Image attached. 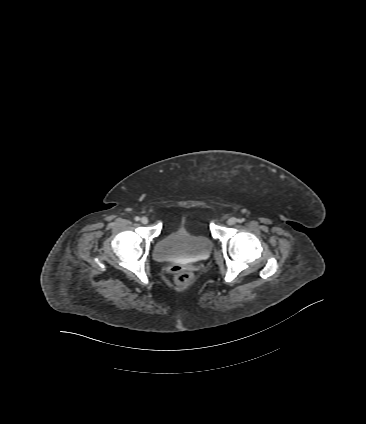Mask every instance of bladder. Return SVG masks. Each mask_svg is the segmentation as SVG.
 Listing matches in <instances>:
<instances>
[{
	"instance_id": "bladder-1",
	"label": "bladder",
	"mask_w": 366,
	"mask_h": 424,
	"mask_svg": "<svg viewBox=\"0 0 366 424\" xmlns=\"http://www.w3.org/2000/svg\"><path fill=\"white\" fill-rule=\"evenodd\" d=\"M213 242L203 234H195L185 227L166 233L154 246V258L158 261L199 260L213 250Z\"/></svg>"
}]
</instances>
